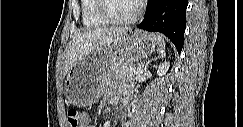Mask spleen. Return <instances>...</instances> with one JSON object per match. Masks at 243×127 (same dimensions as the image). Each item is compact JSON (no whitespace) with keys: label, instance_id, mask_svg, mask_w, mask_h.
<instances>
[{"label":"spleen","instance_id":"obj_1","mask_svg":"<svg viewBox=\"0 0 243 127\" xmlns=\"http://www.w3.org/2000/svg\"><path fill=\"white\" fill-rule=\"evenodd\" d=\"M153 40L155 44L157 45V51L160 56H164L165 53V42L162 36L160 35H154Z\"/></svg>","mask_w":243,"mask_h":127}]
</instances>
